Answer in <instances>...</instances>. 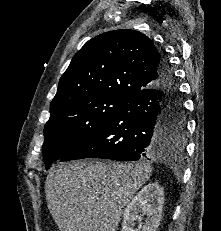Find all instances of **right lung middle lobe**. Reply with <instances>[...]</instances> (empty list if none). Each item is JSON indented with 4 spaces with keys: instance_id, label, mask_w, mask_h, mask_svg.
<instances>
[{
    "instance_id": "1",
    "label": "right lung middle lobe",
    "mask_w": 221,
    "mask_h": 231,
    "mask_svg": "<svg viewBox=\"0 0 221 231\" xmlns=\"http://www.w3.org/2000/svg\"><path fill=\"white\" fill-rule=\"evenodd\" d=\"M126 99L111 96H90L76 100L51 114L44 128L43 156L48 169L81 144L119 109ZM163 135L172 146L183 148L185 114L182 102L170 104L166 111Z\"/></svg>"
}]
</instances>
